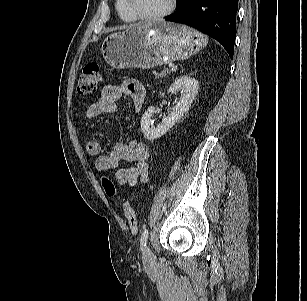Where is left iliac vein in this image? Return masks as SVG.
Listing matches in <instances>:
<instances>
[{"label": "left iliac vein", "instance_id": "4c4485c4", "mask_svg": "<svg viewBox=\"0 0 307 301\" xmlns=\"http://www.w3.org/2000/svg\"><path fill=\"white\" fill-rule=\"evenodd\" d=\"M155 259L154 253L149 247H146L143 254V262L145 264L152 263Z\"/></svg>", "mask_w": 307, "mask_h": 301}]
</instances>
